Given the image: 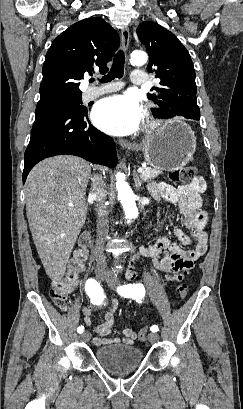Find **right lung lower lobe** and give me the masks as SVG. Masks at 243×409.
I'll list each match as a JSON object with an SVG mask.
<instances>
[{"instance_id":"1","label":"right lung lower lobe","mask_w":243,"mask_h":409,"mask_svg":"<svg viewBox=\"0 0 243 409\" xmlns=\"http://www.w3.org/2000/svg\"><path fill=\"white\" fill-rule=\"evenodd\" d=\"M61 154L79 156L108 167L117 163L113 139L91 125L87 110L36 107L31 138L24 155L23 183L39 161Z\"/></svg>"}]
</instances>
